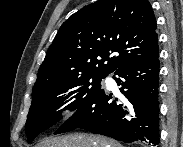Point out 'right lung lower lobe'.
I'll return each mask as SVG.
<instances>
[{"instance_id":"98d812e1","label":"right lung lower lobe","mask_w":183,"mask_h":147,"mask_svg":"<svg viewBox=\"0 0 183 147\" xmlns=\"http://www.w3.org/2000/svg\"><path fill=\"white\" fill-rule=\"evenodd\" d=\"M122 100L100 89L54 133L75 129L123 142L159 143V58L130 62L114 72Z\"/></svg>"}]
</instances>
